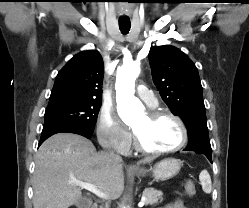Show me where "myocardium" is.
Listing matches in <instances>:
<instances>
[{
	"mask_svg": "<svg viewBox=\"0 0 249 208\" xmlns=\"http://www.w3.org/2000/svg\"><path fill=\"white\" fill-rule=\"evenodd\" d=\"M147 115L151 120H156L162 117H169L176 121L181 130V141L175 147L169 149H150L142 144L137 133L134 131V145L139 152L152 155L169 154L179 151L186 145V143L188 142V129L184 121L179 116L168 110H150Z\"/></svg>",
	"mask_w": 249,
	"mask_h": 208,
	"instance_id": "f54148a6",
	"label": "myocardium"
}]
</instances>
